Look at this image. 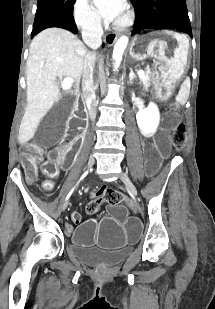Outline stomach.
I'll return each mask as SVG.
<instances>
[{
  "label": "stomach",
  "mask_w": 215,
  "mask_h": 309,
  "mask_svg": "<svg viewBox=\"0 0 215 309\" xmlns=\"http://www.w3.org/2000/svg\"><path fill=\"white\" fill-rule=\"evenodd\" d=\"M133 61L153 58L151 82L168 94L187 69L189 39L174 30H152L137 34L130 44Z\"/></svg>",
  "instance_id": "0dacf381"
}]
</instances>
